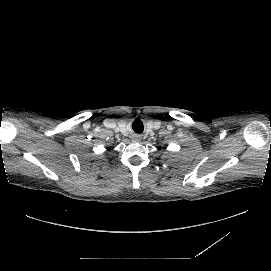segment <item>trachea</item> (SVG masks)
I'll list each match as a JSON object with an SVG mask.
<instances>
[{"mask_svg":"<svg viewBox=\"0 0 271 271\" xmlns=\"http://www.w3.org/2000/svg\"><path fill=\"white\" fill-rule=\"evenodd\" d=\"M132 129L135 132H141V131H143L144 124H143L142 119H140V118L133 119V121H132Z\"/></svg>","mask_w":271,"mask_h":271,"instance_id":"obj_1","label":"trachea"}]
</instances>
